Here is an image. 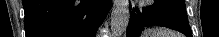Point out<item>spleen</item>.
Wrapping results in <instances>:
<instances>
[{"mask_svg": "<svg viewBox=\"0 0 219 37\" xmlns=\"http://www.w3.org/2000/svg\"><path fill=\"white\" fill-rule=\"evenodd\" d=\"M151 37H182L180 34L173 33L167 29L154 28L150 30Z\"/></svg>", "mask_w": 219, "mask_h": 37, "instance_id": "spleen-1", "label": "spleen"}]
</instances>
